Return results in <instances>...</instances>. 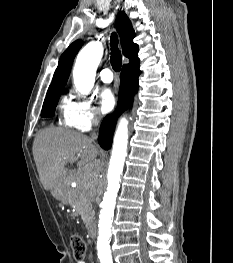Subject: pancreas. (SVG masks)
<instances>
[{"label":"pancreas","instance_id":"cf45deb5","mask_svg":"<svg viewBox=\"0 0 233 263\" xmlns=\"http://www.w3.org/2000/svg\"><path fill=\"white\" fill-rule=\"evenodd\" d=\"M73 206L86 226H89L94 218V210L89 193H83L79 188H71L67 195V201Z\"/></svg>","mask_w":233,"mask_h":263}]
</instances>
